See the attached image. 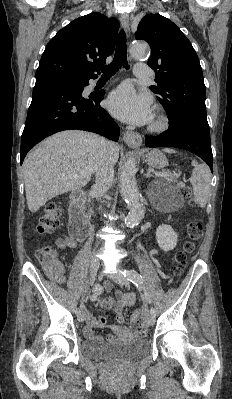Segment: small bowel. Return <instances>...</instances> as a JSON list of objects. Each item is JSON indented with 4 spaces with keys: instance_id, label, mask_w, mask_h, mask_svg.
I'll return each mask as SVG.
<instances>
[{
    "instance_id": "1",
    "label": "small bowel",
    "mask_w": 232,
    "mask_h": 399,
    "mask_svg": "<svg viewBox=\"0 0 232 399\" xmlns=\"http://www.w3.org/2000/svg\"><path fill=\"white\" fill-rule=\"evenodd\" d=\"M78 245L76 242H60V248H74ZM105 288L107 291H113V284L111 282H105ZM117 302H114L112 298L107 297L100 301V306L103 308H113L116 313V319L119 322L117 325H108L104 316H93L89 309L81 305L79 307L80 312L85 317V323L81 326V331L85 334L87 343L89 345H96L98 342V336L95 332L96 328H108L110 332L107 333V338L116 339L131 332V327L120 323L123 319V309L130 307L134 303L133 293L124 294L117 290L115 292Z\"/></svg>"
}]
</instances>
